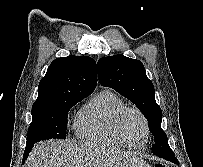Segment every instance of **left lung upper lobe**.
<instances>
[{"instance_id":"left-lung-upper-lobe-1","label":"left lung upper lobe","mask_w":203,"mask_h":167,"mask_svg":"<svg viewBox=\"0 0 203 167\" xmlns=\"http://www.w3.org/2000/svg\"><path fill=\"white\" fill-rule=\"evenodd\" d=\"M98 79L134 103L148 120L155 144L168 142L161 128L162 112L155 100L153 83L147 78L141 61L123 55L103 57L97 63ZM175 157V156H174Z\"/></svg>"}]
</instances>
